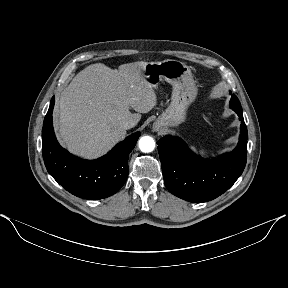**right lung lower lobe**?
<instances>
[{"label": "right lung lower lobe", "instance_id": "1", "mask_svg": "<svg viewBox=\"0 0 288 288\" xmlns=\"http://www.w3.org/2000/svg\"><path fill=\"white\" fill-rule=\"evenodd\" d=\"M54 97L42 128V154L49 174L71 194L97 200L115 194L128 176V156L140 133L118 143L107 155L93 161L82 160L63 149L57 142L52 125Z\"/></svg>", "mask_w": 288, "mask_h": 288}]
</instances>
